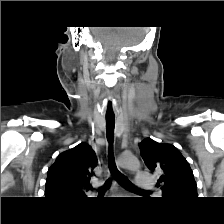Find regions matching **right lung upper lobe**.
<instances>
[{
  "mask_svg": "<svg viewBox=\"0 0 224 224\" xmlns=\"http://www.w3.org/2000/svg\"><path fill=\"white\" fill-rule=\"evenodd\" d=\"M96 166L95 152L87 143L62 152L48 170L45 196L52 199L85 197Z\"/></svg>",
  "mask_w": 224,
  "mask_h": 224,
  "instance_id": "1",
  "label": "right lung upper lobe"
}]
</instances>
